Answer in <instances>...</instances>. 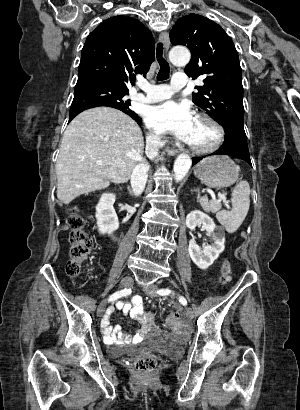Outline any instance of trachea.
I'll use <instances>...</instances> for the list:
<instances>
[{
    "label": "trachea",
    "instance_id": "1",
    "mask_svg": "<svg viewBox=\"0 0 300 410\" xmlns=\"http://www.w3.org/2000/svg\"><path fill=\"white\" fill-rule=\"evenodd\" d=\"M157 61L160 65V70L157 74L158 80H167L169 78L170 67L168 62L163 58V44L158 43L156 48Z\"/></svg>",
    "mask_w": 300,
    "mask_h": 410
}]
</instances>
